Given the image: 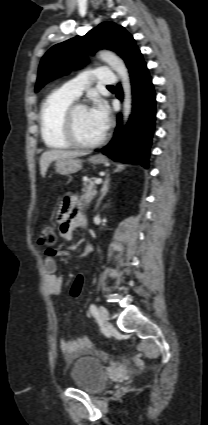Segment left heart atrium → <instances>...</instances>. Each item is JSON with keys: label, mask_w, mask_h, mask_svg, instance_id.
I'll return each mask as SVG.
<instances>
[{"label": "left heart atrium", "mask_w": 208, "mask_h": 425, "mask_svg": "<svg viewBox=\"0 0 208 425\" xmlns=\"http://www.w3.org/2000/svg\"><path fill=\"white\" fill-rule=\"evenodd\" d=\"M89 110L96 124L104 133L109 125V112L106 105L102 101L98 100Z\"/></svg>", "instance_id": "left-heart-atrium-1"}]
</instances>
